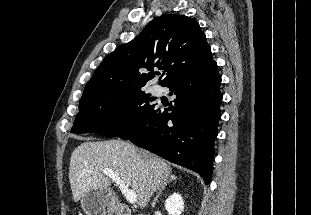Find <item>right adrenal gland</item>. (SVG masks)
I'll use <instances>...</instances> for the list:
<instances>
[{"label":"right adrenal gland","mask_w":311,"mask_h":215,"mask_svg":"<svg viewBox=\"0 0 311 215\" xmlns=\"http://www.w3.org/2000/svg\"><path fill=\"white\" fill-rule=\"evenodd\" d=\"M175 180H176V176H175V175H171V176L169 177V179H168L166 182H164V184L161 186V188L159 189V192L157 193L156 197H155L154 200H153V203H152V206H153V207L155 206V204H156V202H157L159 196L162 194V191L165 189V187H166L170 182H173V181H175Z\"/></svg>","instance_id":"1"}]
</instances>
